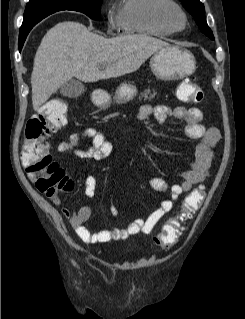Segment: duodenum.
Listing matches in <instances>:
<instances>
[{"instance_id":"obj_1","label":"duodenum","mask_w":245,"mask_h":319,"mask_svg":"<svg viewBox=\"0 0 245 319\" xmlns=\"http://www.w3.org/2000/svg\"><path fill=\"white\" fill-rule=\"evenodd\" d=\"M93 103L97 106L102 104V97L100 93H95L93 95Z\"/></svg>"}]
</instances>
